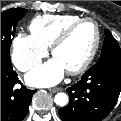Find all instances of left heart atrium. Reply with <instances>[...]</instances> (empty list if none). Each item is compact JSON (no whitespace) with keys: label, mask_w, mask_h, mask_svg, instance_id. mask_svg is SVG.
Listing matches in <instances>:
<instances>
[{"label":"left heart atrium","mask_w":121,"mask_h":121,"mask_svg":"<svg viewBox=\"0 0 121 121\" xmlns=\"http://www.w3.org/2000/svg\"><path fill=\"white\" fill-rule=\"evenodd\" d=\"M66 70L57 58H52L28 73L26 80L32 86H53L61 81Z\"/></svg>","instance_id":"left-heart-atrium-1"}]
</instances>
